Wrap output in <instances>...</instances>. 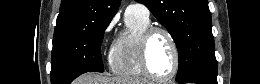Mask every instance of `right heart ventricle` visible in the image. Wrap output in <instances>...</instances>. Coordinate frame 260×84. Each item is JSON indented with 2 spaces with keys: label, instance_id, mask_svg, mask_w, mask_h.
Listing matches in <instances>:
<instances>
[{
  "label": "right heart ventricle",
  "instance_id": "e07e8e85",
  "mask_svg": "<svg viewBox=\"0 0 260 84\" xmlns=\"http://www.w3.org/2000/svg\"><path fill=\"white\" fill-rule=\"evenodd\" d=\"M126 29L119 36L110 58L111 70L127 78L144 76L141 68L139 42L145 29L150 26V19L130 12L125 13Z\"/></svg>",
  "mask_w": 260,
  "mask_h": 84
}]
</instances>
